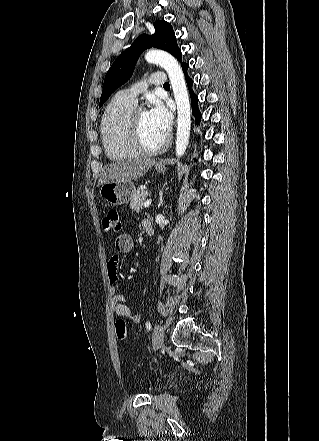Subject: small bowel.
Listing matches in <instances>:
<instances>
[{"mask_svg": "<svg viewBox=\"0 0 319 441\" xmlns=\"http://www.w3.org/2000/svg\"><path fill=\"white\" fill-rule=\"evenodd\" d=\"M146 222H149V220H144L143 226ZM133 246L134 240L129 234H121L117 237L115 241V247L121 253L130 252ZM118 265L119 257L117 255H113L108 260L106 267V273L109 283L108 292L110 295L111 307L117 316L126 318L130 322L138 324L141 322V315L139 313L133 312L126 304L124 296L118 293V290L120 289L129 288V286L123 285L119 281L117 272Z\"/></svg>", "mask_w": 319, "mask_h": 441, "instance_id": "1", "label": "small bowel"}]
</instances>
